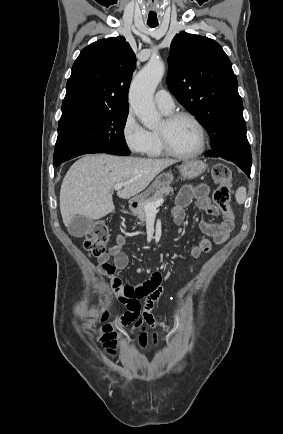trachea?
I'll list each match as a JSON object with an SVG mask.
<instances>
[{"label":"trachea","instance_id":"obj_1","mask_svg":"<svg viewBox=\"0 0 283 434\" xmlns=\"http://www.w3.org/2000/svg\"><path fill=\"white\" fill-rule=\"evenodd\" d=\"M149 27L155 28L158 26V23H147Z\"/></svg>","mask_w":283,"mask_h":434}]
</instances>
